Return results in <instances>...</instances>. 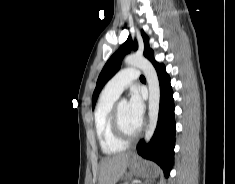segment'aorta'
I'll list each match as a JSON object with an SVG mask.
<instances>
[{
	"instance_id": "1",
	"label": "aorta",
	"mask_w": 235,
	"mask_h": 184,
	"mask_svg": "<svg viewBox=\"0 0 235 184\" xmlns=\"http://www.w3.org/2000/svg\"><path fill=\"white\" fill-rule=\"evenodd\" d=\"M127 66H132V68H140L144 72V76L147 80L149 88V126L145 132V142H150L157 126L158 114H159V104H160V86L157 74L150 62L143 58V56H137V54H131V56H126L124 60ZM126 104L125 98L121 100L120 106Z\"/></svg>"
}]
</instances>
